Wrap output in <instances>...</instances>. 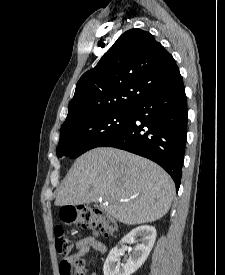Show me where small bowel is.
I'll return each mask as SVG.
<instances>
[{
	"mask_svg": "<svg viewBox=\"0 0 225 275\" xmlns=\"http://www.w3.org/2000/svg\"><path fill=\"white\" fill-rule=\"evenodd\" d=\"M91 251H95L100 254H105L107 251V247L103 242L95 239L94 237H91V236L83 237L77 241L76 251L72 255H70L69 259L70 260L80 259L81 257L87 255ZM92 275H96V274H92Z\"/></svg>",
	"mask_w": 225,
	"mask_h": 275,
	"instance_id": "1",
	"label": "small bowel"
}]
</instances>
